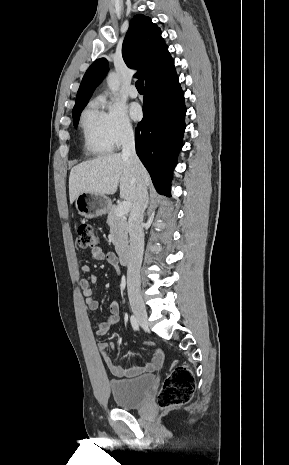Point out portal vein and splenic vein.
<instances>
[{"instance_id":"obj_1","label":"portal vein and splenic vein","mask_w":289,"mask_h":465,"mask_svg":"<svg viewBox=\"0 0 289 465\" xmlns=\"http://www.w3.org/2000/svg\"><path fill=\"white\" fill-rule=\"evenodd\" d=\"M130 203L128 201L121 202L116 209V213L118 216H125L130 211Z\"/></svg>"}]
</instances>
